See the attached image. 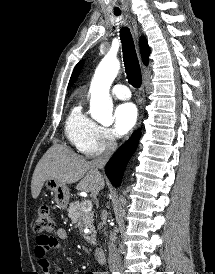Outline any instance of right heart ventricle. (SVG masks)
<instances>
[{"label": "right heart ventricle", "mask_w": 215, "mask_h": 274, "mask_svg": "<svg viewBox=\"0 0 215 274\" xmlns=\"http://www.w3.org/2000/svg\"><path fill=\"white\" fill-rule=\"evenodd\" d=\"M96 123L84 112L82 102L75 103L65 121V134L68 141L82 151Z\"/></svg>", "instance_id": "obj_1"}]
</instances>
